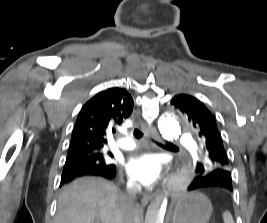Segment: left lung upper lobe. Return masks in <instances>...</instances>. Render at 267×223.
Here are the masks:
<instances>
[{"label": "left lung upper lobe", "instance_id": "left-lung-upper-lobe-1", "mask_svg": "<svg viewBox=\"0 0 267 223\" xmlns=\"http://www.w3.org/2000/svg\"><path fill=\"white\" fill-rule=\"evenodd\" d=\"M171 105L183 114L201 144L202 156L194 163L196 173H230V163L215 116L201 101L190 95H176Z\"/></svg>", "mask_w": 267, "mask_h": 223}]
</instances>
